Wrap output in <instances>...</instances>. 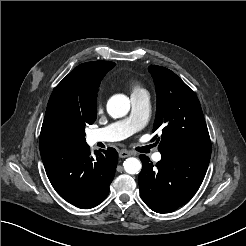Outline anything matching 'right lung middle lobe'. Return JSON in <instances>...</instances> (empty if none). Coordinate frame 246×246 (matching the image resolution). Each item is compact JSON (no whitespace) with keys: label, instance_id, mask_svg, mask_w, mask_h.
Here are the masks:
<instances>
[{"label":"right lung middle lobe","instance_id":"right-lung-middle-lobe-1","mask_svg":"<svg viewBox=\"0 0 246 246\" xmlns=\"http://www.w3.org/2000/svg\"><path fill=\"white\" fill-rule=\"evenodd\" d=\"M97 91L98 86L93 92L94 101L92 108H85L83 110L74 108L70 111L62 127V136L64 140L85 142V126L87 124H92L97 115L95 109Z\"/></svg>","mask_w":246,"mask_h":246}]
</instances>
